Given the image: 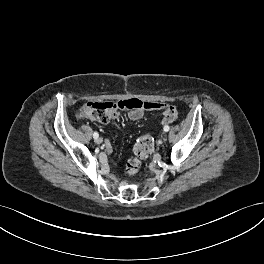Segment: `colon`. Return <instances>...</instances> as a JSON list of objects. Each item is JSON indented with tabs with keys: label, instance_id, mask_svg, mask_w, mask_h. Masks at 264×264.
<instances>
[{
	"label": "colon",
	"instance_id": "5ec220e1",
	"mask_svg": "<svg viewBox=\"0 0 264 264\" xmlns=\"http://www.w3.org/2000/svg\"><path fill=\"white\" fill-rule=\"evenodd\" d=\"M129 106L124 101L120 102H88L80 110L79 117L89 118L98 122L106 123L117 116L118 109ZM154 148L153 138L149 134L141 136L134 146V156L126 164L128 175H135Z\"/></svg>",
	"mask_w": 264,
	"mask_h": 264
}]
</instances>
